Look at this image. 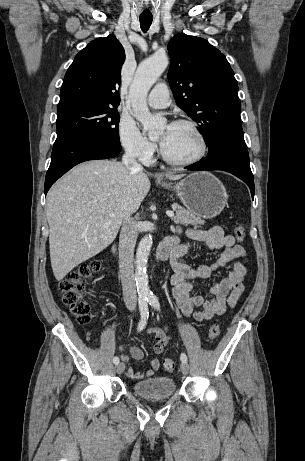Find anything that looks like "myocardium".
<instances>
[{"label": "myocardium", "instance_id": "1", "mask_svg": "<svg viewBox=\"0 0 305 461\" xmlns=\"http://www.w3.org/2000/svg\"><path fill=\"white\" fill-rule=\"evenodd\" d=\"M172 125H183V126L189 127L194 132V134L197 136L199 144H200V149H199V152L193 158L186 159V160H178V159H174L168 156L165 150L163 149V146L161 145L160 154H161L162 159L170 165L182 166V167L192 166L200 162L207 154L208 144H207V140H206L204 133L201 131L197 123L189 119H178L174 121Z\"/></svg>", "mask_w": 305, "mask_h": 461}]
</instances>
